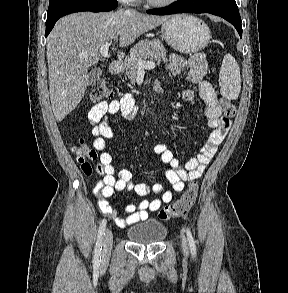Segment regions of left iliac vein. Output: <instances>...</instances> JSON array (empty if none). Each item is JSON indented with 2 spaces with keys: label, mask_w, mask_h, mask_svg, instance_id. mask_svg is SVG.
<instances>
[{
  "label": "left iliac vein",
  "mask_w": 288,
  "mask_h": 293,
  "mask_svg": "<svg viewBox=\"0 0 288 293\" xmlns=\"http://www.w3.org/2000/svg\"><path fill=\"white\" fill-rule=\"evenodd\" d=\"M181 242H182V250H183V253L185 255H187L188 254V247H187V241H186L185 237H182Z\"/></svg>",
  "instance_id": "left-iliac-vein-1"
}]
</instances>
